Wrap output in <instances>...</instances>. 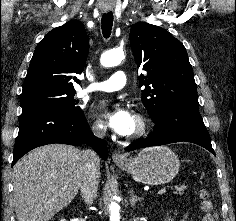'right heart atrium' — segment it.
Here are the masks:
<instances>
[{
    "instance_id": "right-heart-atrium-1",
    "label": "right heart atrium",
    "mask_w": 236,
    "mask_h": 221,
    "mask_svg": "<svg viewBox=\"0 0 236 221\" xmlns=\"http://www.w3.org/2000/svg\"><path fill=\"white\" fill-rule=\"evenodd\" d=\"M92 132L94 133V135H96L97 137H102L105 135L106 133V126L104 124V122H102L101 120L97 119L94 121L93 125H92Z\"/></svg>"
}]
</instances>
